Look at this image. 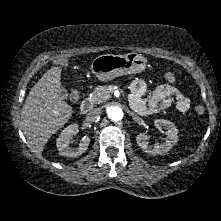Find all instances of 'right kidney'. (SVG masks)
Instances as JSON below:
<instances>
[{
  "mask_svg": "<svg viewBox=\"0 0 221 221\" xmlns=\"http://www.w3.org/2000/svg\"><path fill=\"white\" fill-rule=\"evenodd\" d=\"M78 132V125L72 124L66 127L57 139L56 145L62 156L77 157L84 153L90 143V138L86 137L82 139V142L76 147H69L70 138Z\"/></svg>",
  "mask_w": 221,
  "mask_h": 221,
  "instance_id": "1",
  "label": "right kidney"
}]
</instances>
